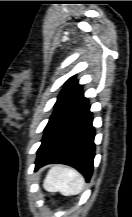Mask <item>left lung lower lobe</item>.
<instances>
[{
    "instance_id": "left-lung-lower-lobe-1",
    "label": "left lung lower lobe",
    "mask_w": 132,
    "mask_h": 217,
    "mask_svg": "<svg viewBox=\"0 0 132 217\" xmlns=\"http://www.w3.org/2000/svg\"><path fill=\"white\" fill-rule=\"evenodd\" d=\"M92 120L88 99L82 94L46 127L35 170L50 163L67 164L89 181L95 150Z\"/></svg>"
}]
</instances>
